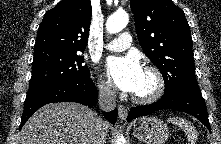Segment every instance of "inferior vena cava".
<instances>
[{
    "instance_id": "1",
    "label": "inferior vena cava",
    "mask_w": 221,
    "mask_h": 144,
    "mask_svg": "<svg viewBox=\"0 0 221 144\" xmlns=\"http://www.w3.org/2000/svg\"><path fill=\"white\" fill-rule=\"evenodd\" d=\"M98 104L101 110L111 111L116 107V88L110 83L98 86ZM105 121L98 117L93 129L92 144H105L106 133L104 131Z\"/></svg>"
}]
</instances>
